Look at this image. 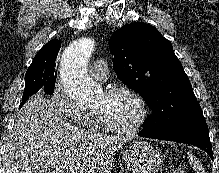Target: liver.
Listing matches in <instances>:
<instances>
[{
  "mask_svg": "<svg viewBox=\"0 0 219 173\" xmlns=\"http://www.w3.org/2000/svg\"><path fill=\"white\" fill-rule=\"evenodd\" d=\"M126 138L99 135L69 123L51 101L31 97L7 140L5 173H108ZM54 168V170H53Z\"/></svg>",
  "mask_w": 219,
  "mask_h": 173,
  "instance_id": "1",
  "label": "liver"
}]
</instances>
